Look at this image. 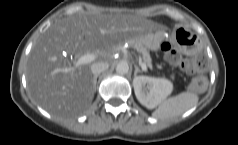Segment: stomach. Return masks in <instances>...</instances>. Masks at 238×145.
Returning <instances> with one entry per match:
<instances>
[{"instance_id":"stomach-1","label":"stomach","mask_w":238,"mask_h":145,"mask_svg":"<svg viewBox=\"0 0 238 145\" xmlns=\"http://www.w3.org/2000/svg\"><path fill=\"white\" fill-rule=\"evenodd\" d=\"M170 37L178 48L186 51L201 47L199 35L195 31H191L186 25H175L171 29Z\"/></svg>"}]
</instances>
